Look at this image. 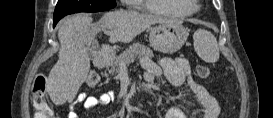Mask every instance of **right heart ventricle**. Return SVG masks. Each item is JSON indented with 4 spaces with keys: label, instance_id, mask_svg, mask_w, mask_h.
<instances>
[{
    "label": "right heart ventricle",
    "instance_id": "1",
    "mask_svg": "<svg viewBox=\"0 0 273 118\" xmlns=\"http://www.w3.org/2000/svg\"><path fill=\"white\" fill-rule=\"evenodd\" d=\"M146 3L147 8L159 14L176 17L189 16L193 11L187 0H144L136 3Z\"/></svg>",
    "mask_w": 273,
    "mask_h": 118
}]
</instances>
